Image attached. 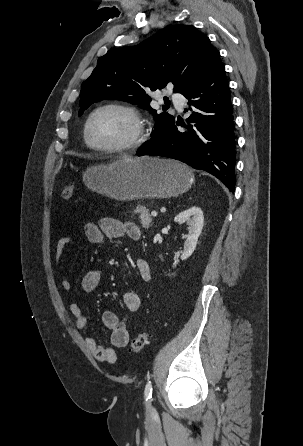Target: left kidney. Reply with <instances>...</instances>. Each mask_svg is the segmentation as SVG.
<instances>
[{"instance_id": "obj_1", "label": "left kidney", "mask_w": 303, "mask_h": 446, "mask_svg": "<svg viewBox=\"0 0 303 446\" xmlns=\"http://www.w3.org/2000/svg\"><path fill=\"white\" fill-rule=\"evenodd\" d=\"M174 221L177 223L186 222L189 226L186 241L184 242V249L181 254V260H185L190 257L196 249L198 237L200 236L203 228V212L201 208L193 206L180 212L174 218Z\"/></svg>"}]
</instances>
